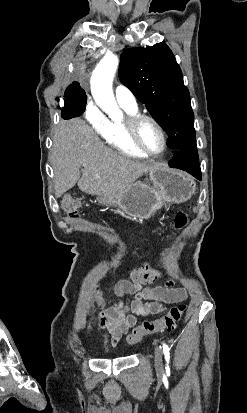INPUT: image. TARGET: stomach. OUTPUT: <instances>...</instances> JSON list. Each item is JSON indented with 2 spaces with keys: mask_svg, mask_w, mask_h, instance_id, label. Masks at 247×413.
Returning <instances> with one entry per match:
<instances>
[{
  "mask_svg": "<svg viewBox=\"0 0 247 413\" xmlns=\"http://www.w3.org/2000/svg\"><path fill=\"white\" fill-rule=\"evenodd\" d=\"M147 174L150 182H133L118 194H98V202L105 207H117L130 217L149 219L164 202L178 204L195 194L196 182L187 172L155 164Z\"/></svg>",
  "mask_w": 247,
  "mask_h": 413,
  "instance_id": "stomach-1",
  "label": "stomach"
}]
</instances>
